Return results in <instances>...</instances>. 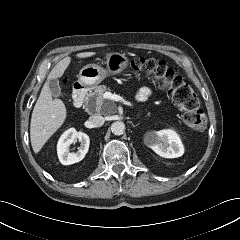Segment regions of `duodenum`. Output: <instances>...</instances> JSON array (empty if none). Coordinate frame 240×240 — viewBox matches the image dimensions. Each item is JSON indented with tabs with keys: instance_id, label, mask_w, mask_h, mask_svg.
Returning a JSON list of instances; mask_svg holds the SVG:
<instances>
[{
	"instance_id": "obj_1",
	"label": "duodenum",
	"mask_w": 240,
	"mask_h": 240,
	"mask_svg": "<svg viewBox=\"0 0 240 240\" xmlns=\"http://www.w3.org/2000/svg\"><path fill=\"white\" fill-rule=\"evenodd\" d=\"M87 89L84 85H76L73 90V106L79 108L85 99Z\"/></svg>"
}]
</instances>
